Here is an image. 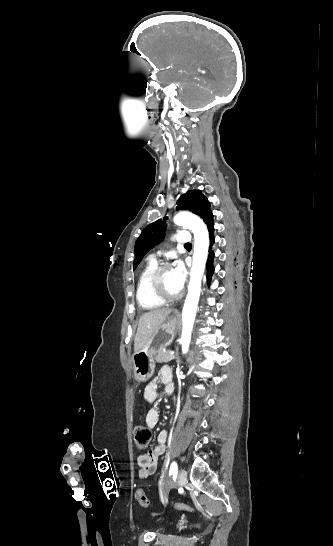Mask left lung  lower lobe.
<instances>
[{
  "mask_svg": "<svg viewBox=\"0 0 333 546\" xmlns=\"http://www.w3.org/2000/svg\"><path fill=\"white\" fill-rule=\"evenodd\" d=\"M205 224H206L207 231L209 233V242H210V248H211V246L215 242L213 216H211ZM209 252H210V254L208 255V260H207V280H208V282L210 281V279L212 277V274L214 272V267H213L214 252L211 249L209 250Z\"/></svg>",
  "mask_w": 333,
  "mask_h": 546,
  "instance_id": "obj_1",
  "label": "left lung lower lobe"
}]
</instances>
